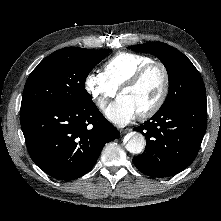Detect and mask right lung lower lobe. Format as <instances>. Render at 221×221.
I'll return each instance as SVG.
<instances>
[{"label": "right lung lower lobe", "mask_w": 221, "mask_h": 221, "mask_svg": "<svg viewBox=\"0 0 221 221\" xmlns=\"http://www.w3.org/2000/svg\"><path fill=\"white\" fill-rule=\"evenodd\" d=\"M20 121L32 160L60 180L83 176L104 145L119 136L92 102L82 105H21Z\"/></svg>", "instance_id": "right-lung-lower-lobe-1"}]
</instances>
